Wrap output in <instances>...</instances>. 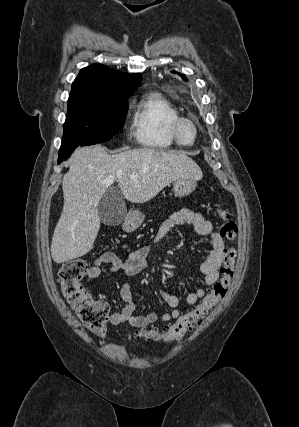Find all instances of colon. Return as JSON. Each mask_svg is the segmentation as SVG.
Wrapping results in <instances>:
<instances>
[{
    "label": "colon",
    "instance_id": "colon-1",
    "mask_svg": "<svg viewBox=\"0 0 299 427\" xmlns=\"http://www.w3.org/2000/svg\"><path fill=\"white\" fill-rule=\"evenodd\" d=\"M218 215L222 221L219 234L231 244L225 250L220 279L192 311L162 330L156 327L142 328L137 332L138 337L157 342L179 340L202 324L213 307L225 297L235 272L237 248L233 244L237 239L238 227L228 210L219 208ZM88 270L86 260L82 258L68 260L60 268L59 283L63 297L83 325L89 331L98 334L106 328L110 307L105 301L93 299L82 285V279Z\"/></svg>",
    "mask_w": 299,
    "mask_h": 427
}]
</instances>
